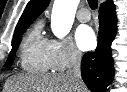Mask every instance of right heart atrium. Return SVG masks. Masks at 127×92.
<instances>
[{"mask_svg":"<svg viewBox=\"0 0 127 92\" xmlns=\"http://www.w3.org/2000/svg\"><path fill=\"white\" fill-rule=\"evenodd\" d=\"M48 59L53 70L61 71L79 63L82 53L70 38L51 39L48 44Z\"/></svg>","mask_w":127,"mask_h":92,"instance_id":"d8ad5b80","label":"right heart atrium"}]
</instances>
